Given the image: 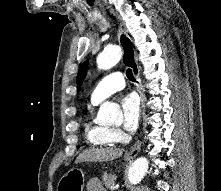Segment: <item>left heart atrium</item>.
Returning a JSON list of instances; mask_svg holds the SVG:
<instances>
[{"label":"left heart atrium","mask_w":221,"mask_h":191,"mask_svg":"<svg viewBox=\"0 0 221 191\" xmlns=\"http://www.w3.org/2000/svg\"><path fill=\"white\" fill-rule=\"evenodd\" d=\"M123 126L127 131L136 130L140 117V104L136 95L129 94L122 98Z\"/></svg>","instance_id":"39dd6f15"}]
</instances>
